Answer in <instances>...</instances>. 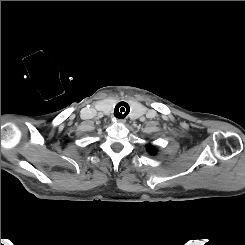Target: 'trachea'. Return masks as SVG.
<instances>
[{
  "label": "trachea",
  "instance_id": "3493384b",
  "mask_svg": "<svg viewBox=\"0 0 245 245\" xmlns=\"http://www.w3.org/2000/svg\"><path fill=\"white\" fill-rule=\"evenodd\" d=\"M130 112V106L126 102H119L115 106L114 115L119 119L125 118Z\"/></svg>",
  "mask_w": 245,
  "mask_h": 245
}]
</instances>
